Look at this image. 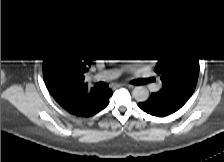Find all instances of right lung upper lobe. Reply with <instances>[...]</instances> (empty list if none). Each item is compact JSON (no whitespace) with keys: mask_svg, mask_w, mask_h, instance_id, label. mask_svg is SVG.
Returning <instances> with one entry per match:
<instances>
[{"mask_svg":"<svg viewBox=\"0 0 224 162\" xmlns=\"http://www.w3.org/2000/svg\"><path fill=\"white\" fill-rule=\"evenodd\" d=\"M92 61V54H79L70 48H62L43 63L44 81L50 94L71 114L85 117L94 115L112 95L111 90L89 89L84 82V73Z\"/></svg>","mask_w":224,"mask_h":162,"instance_id":"cb5924a9","label":"right lung upper lobe"}]
</instances>
